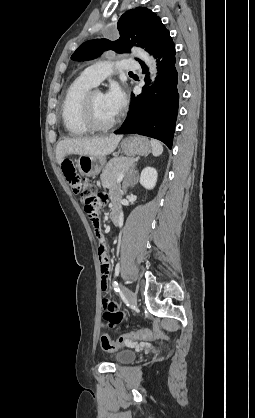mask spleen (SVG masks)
<instances>
[{
    "instance_id": "1",
    "label": "spleen",
    "mask_w": 255,
    "mask_h": 418,
    "mask_svg": "<svg viewBox=\"0 0 255 418\" xmlns=\"http://www.w3.org/2000/svg\"><path fill=\"white\" fill-rule=\"evenodd\" d=\"M152 154L154 156H159L163 152L162 143L156 139H151Z\"/></svg>"
}]
</instances>
